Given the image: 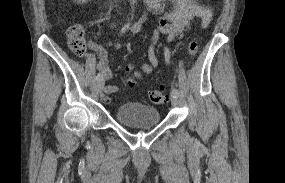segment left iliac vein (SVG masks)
<instances>
[{
  "label": "left iliac vein",
  "mask_w": 285,
  "mask_h": 183,
  "mask_svg": "<svg viewBox=\"0 0 285 183\" xmlns=\"http://www.w3.org/2000/svg\"><path fill=\"white\" fill-rule=\"evenodd\" d=\"M171 103L173 106H177L178 105V96L171 94Z\"/></svg>",
  "instance_id": "1"
}]
</instances>
